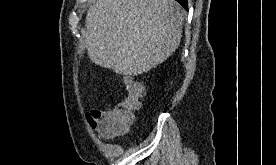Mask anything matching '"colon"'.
Here are the masks:
<instances>
[{
	"label": "colon",
	"instance_id": "5ec220e1",
	"mask_svg": "<svg viewBox=\"0 0 276 165\" xmlns=\"http://www.w3.org/2000/svg\"><path fill=\"white\" fill-rule=\"evenodd\" d=\"M126 96L114 106L102 110L101 113H88L90 125L102 136L124 132L133 121L136 112L142 107L145 96L143 83L135 78L125 82Z\"/></svg>",
	"mask_w": 276,
	"mask_h": 165
}]
</instances>
